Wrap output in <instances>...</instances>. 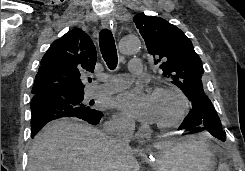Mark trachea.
Here are the masks:
<instances>
[{
  "label": "trachea",
  "mask_w": 245,
  "mask_h": 171,
  "mask_svg": "<svg viewBox=\"0 0 245 171\" xmlns=\"http://www.w3.org/2000/svg\"><path fill=\"white\" fill-rule=\"evenodd\" d=\"M99 46L103 59L109 69L116 68L118 63L115 40L110 30L103 29L99 33ZM91 81V78L89 79Z\"/></svg>",
  "instance_id": "3493384b"
}]
</instances>
